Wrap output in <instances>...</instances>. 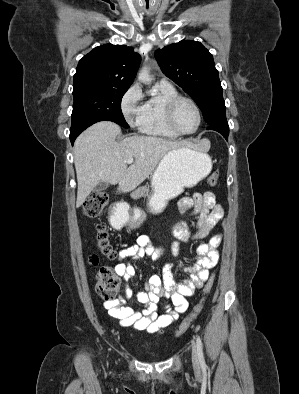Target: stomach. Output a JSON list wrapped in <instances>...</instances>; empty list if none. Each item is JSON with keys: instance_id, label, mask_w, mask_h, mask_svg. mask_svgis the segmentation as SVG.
Masks as SVG:
<instances>
[{"instance_id": "1", "label": "stomach", "mask_w": 299, "mask_h": 394, "mask_svg": "<svg viewBox=\"0 0 299 394\" xmlns=\"http://www.w3.org/2000/svg\"><path fill=\"white\" fill-rule=\"evenodd\" d=\"M211 169V159L206 153L184 146L169 151L152 174V194L148 199L150 210L153 213L163 211L170 199L181 194L185 187L196 185ZM144 218V213L134 208L126 215L125 222L136 227Z\"/></svg>"}]
</instances>
